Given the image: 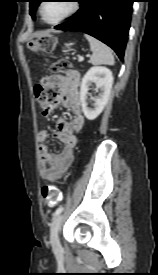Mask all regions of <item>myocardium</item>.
<instances>
[{"label":"myocardium","mask_w":158,"mask_h":275,"mask_svg":"<svg viewBox=\"0 0 158 275\" xmlns=\"http://www.w3.org/2000/svg\"><path fill=\"white\" fill-rule=\"evenodd\" d=\"M71 2V8L70 10L64 15L62 16L61 18H59L58 20H55V21H48L45 19L44 15H43V7H44V4L46 3L45 1L42 2L40 4V7H39V14L41 16V19L47 23V24H50V25H56V24H59L61 23L62 21L70 18L71 16H73L75 13H77L80 9V3L78 0H72L70 1Z\"/></svg>","instance_id":"f54148a6"}]
</instances>
